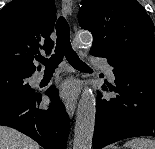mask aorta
Listing matches in <instances>:
<instances>
[{"instance_id": "1", "label": "aorta", "mask_w": 155, "mask_h": 149, "mask_svg": "<svg viewBox=\"0 0 155 149\" xmlns=\"http://www.w3.org/2000/svg\"><path fill=\"white\" fill-rule=\"evenodd\" d=\"M92 35L83 31L76 38L78 45L90 47L92 45ZM96 100L93 91L85 86L79 100L73 149H91L95 126Z\"/></svg>"}]
</instances>
